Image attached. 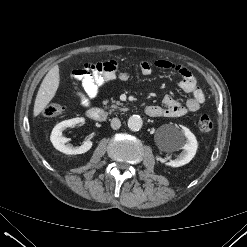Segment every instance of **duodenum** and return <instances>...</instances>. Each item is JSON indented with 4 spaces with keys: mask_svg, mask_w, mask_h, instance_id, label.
I'll return each mask as SVG.
<instances>
[{
    "mask_svg": "<svg viewBox=\"0 0 247 247\" xmlns=\"http://www.w3.org/2000/svg\"><path fill=\"white\" fill-rule=\"evenodd\" d=\"M145 112L147 115L150 116L152 114V107L147 106L145 109ZM86 114L91 120H94L96 122H103L107 118V113L103 109L96 108V107L89 108Z\"/></svg>",
    "mask_w": 247,
    "mask_h": 247,
    "instance_id": "410a0bca",
    "label": "duodenum"
}]
</instances>
